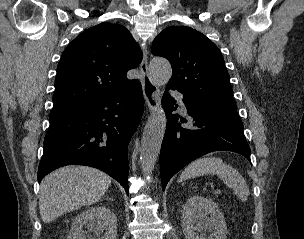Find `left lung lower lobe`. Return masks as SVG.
<instances>
[{
	"instance_id": "obj_1",
	"label": "left lung lower lobe",
	"mask_w": 304,
	"mask_h": 239,
	"mask_svg": "<svg viewBox=\"0 0 304 239\" xmlns=\"http://www.w3.org/2000/svg\"><path fill=\"white\" fill-rule=\"evenodd\" d=\"M192 128L172 111L178 107L167 92L162 98L167 126L160 152V173L164 190L170 178L191 161L207 153L226 150L239 153L250 161V148L243 133V123L237 113L202 106L183 99Z\"/></svg>"
}]
</instances>
